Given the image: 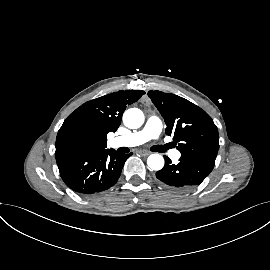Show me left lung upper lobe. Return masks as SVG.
Segmentation results:
<instances>
[{
  "label": "left lung upper lobe",
  "instance_id": "5c2ea615",
  "mask_svg": "<svg viewBox=\"0 0 270 270\" xmlns=\"http://www.w3.org/2000/svg\"><path fill=\"white\" fill-rule=\"evenodd\" d=\"M148 96L167 125L181 157L214 167L219 149L218 129L211 117L190 101L171 93L149 91Z\"/></svg>",
  "mask_w": 270,
  "mask_h": 270
}]
</instances>
